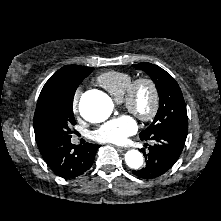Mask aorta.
Returning <instances> with one entry per match:
<instances>
[{
    "instance_id": "obj_1",
    "label": "aorta",
    "mask_w": 221,
    "mask_h": 221,
    "mask_svg": "<svg viewBox=\"0 0 221 221\" xmlns=\"http://www.w3.org/2000/svg\"><path fill=\"white\" fill-rule=\"evenodd\" d=\"M112 100L104 93L85 95L79 103V111L82 117L90 122H102L113 111ZM126 164L132 169H138L143 164V156L138 150H129L125 154Z\"/></svg>"
}]
</instances>
